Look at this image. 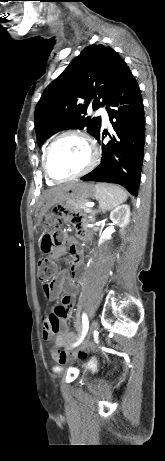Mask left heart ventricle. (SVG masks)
Returning <instances> with one entry per match:
<instances>
[{
  "mask_svg": "<svg viewBox=\"0 0 165 461\" xmlns=\"http://www.w3.org/2000/svg\"><path fill=\"white\" fill-rule=\"evenodd\" d=\"M89 160L85 143L77 137H65L50 152L48 168L57 178L73 175L82 170Z\"/></svg>",
  "mask_w": 165,
  "mask_h": 461,
  "instance_id": "b2bd125f",
  "label": "left heart ventricle"
}]
</instances>
